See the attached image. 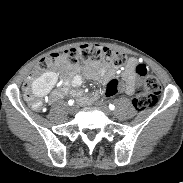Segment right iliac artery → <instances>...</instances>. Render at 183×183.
Returning <instances> with one entry per match:
<instances>
[{
	"label": "right iliac artery",
	"mask_w": 183,
	"mask_h": 183,
	"mask_svg": "<svg viewBox=\"0 0 183 183\" xmlns=\"http://www.w3.org/2000/svg\"><path fill=\"white\" fill-rule=\"evenodd\" d=\"M73 103H74L73 100H69V101H68V104H69L70 106L73 105Z\"/></svg>",
	"instance_id": "obj_1"
}]
</instances>
